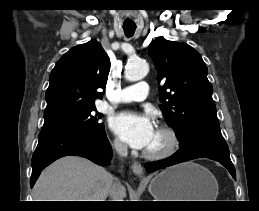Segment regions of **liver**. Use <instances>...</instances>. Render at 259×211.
I'll use <instances>...</instances> for the list:
<instances>
[{
	"label": "liver",
	"mask_w": 259,
	"mask_h": 211,
	"mask_svg": "<svg viewBox=\"0 0 259 211\" xmlns=\"http://www.w3.org/2000/svg\"><path fill=\"white\" fill-rule=\"evenodd\" d=\"M113 176L85 158L67 156L48 166L33 188L34 201H106ZM120 199L126 197L123 186Z\"/></svg>",
	"instance_id": "6515ba94"
}]
</instances>
